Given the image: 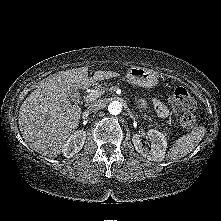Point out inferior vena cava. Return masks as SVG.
<instances>
[{
    "instance_id": "inferior-vena-cava-1",
    "label": "inferior vena cava",
    "mask_w": 221,
    "mask_h": 221,
    "mask_svg": "<svg viewBox=\"0 0 221 221\" xmlns=\"http://www.w3.org/2000/svg\"><path fill=\"white\" fill-rule=\"evenodd\" d=\"M104 106H105L104 102L101 100H98V101H95L89 105L88 111L96 112V111L104 108Z\"/></svg>"
}]
</instances>
